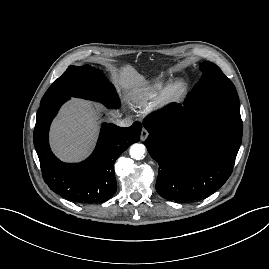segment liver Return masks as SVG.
<instances>
[{
    "label": "liver",
    "mask_w": 269,
    "mask_h": 269,
    "mask_svg": "<svg viewBox=\"0 0 269 269\" xmlns=\"http://www.w3.org/2000/svg\"><path fill=\"white\" fill-rule=\"evenodd\" d=\"M124 89L142 90L147 80L131 65H126L115 75ZM109 121L120 116L109 112ZM99 130V120L90 104L73 99L62 107L50 130V143L54 153L63 161L76 162L87 157L92 151Z\"/></svg>",
    "instance_id": "6515ba94"
}]
</instances>
